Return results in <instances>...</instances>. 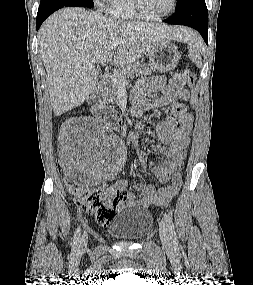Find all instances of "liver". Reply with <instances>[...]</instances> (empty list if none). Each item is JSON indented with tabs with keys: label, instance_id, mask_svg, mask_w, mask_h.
I'll return each instance as SVG.
<instances>
[{
	"label": "liver",
	"instance_id": "liver-1",
	"mask_svg": "<svg viewBox=\"0 0 253 285\" xmlns=\"http://www.w3.org/2000/svg\"><path fill=\"white\" fill-rule=\"evenodd\" d=\"M192 33L183 27L123 22L78 7L58 10L38 32L54 114L59 116L81 105L93 92L98 83L96 61L104 64L113 60L124 67L158 43L186 41ZM112 43L119 44L116 52L108 51Z\"/></svg>",
	"mask_w": 253,
	"mask_h": 285
}]
</instances>
